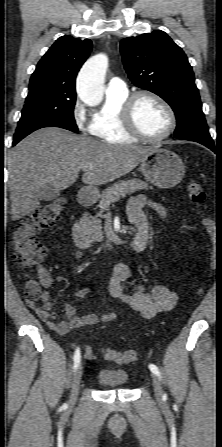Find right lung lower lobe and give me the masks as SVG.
<instances>
[{
    "instance_id": "obj_1",
    "label": "right lung lower lobe",
    "mask_w": 222,
    "mask_h": 447,
    "mask_svg": "<svg viewBox=\"0 0 222 447\" xmlns=\"http://www.w3.org/2000/svg\"><path fill=\"white\" fill-rule=\"evenodd\" d=\"M19 141H13V145H15L16 143H18Z\"/></svg>"
}]
</instances>
